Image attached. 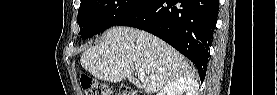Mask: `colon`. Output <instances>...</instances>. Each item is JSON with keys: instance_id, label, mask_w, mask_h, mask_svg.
<instances>
[{"instance_id": "obj_1", "label": "colon", "mask_w": 277, "mask_h": 95, "mask_svg": "<svg viewBox=\"0 0 277 95\" xmlns=\"http://www.w3.org/2000/svg\"><path fill=\"white\" fill-rule=\"evenodd\" d=\"M81 86L87 95H141L140 91L134 90L128 86H121L117 91H114L107 84L89 78L81 79Z\"/></svg>"}]
</instances>
